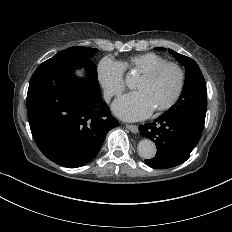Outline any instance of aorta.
<instances>
[{"label":"aorta","instance_id":"762f6f07","mask_svg":"<svg viewBox=\"0 0 232 232\" xmlns=\"http://www.w3.org/2000/svg\"><path fill=\"white\" fill-rule=\"evenodd\" d=\"M156 146L150 139H142L138 144V153L142 158L151 159L156 154Z\"/></svg>","mask_w":232,"mask_h":232}]
</instances>
